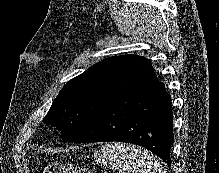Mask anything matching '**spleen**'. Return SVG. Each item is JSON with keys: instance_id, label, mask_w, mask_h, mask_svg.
<instances>
[{"instance_id": "spleen-1", "label": "spleen", "mask_w": 219, "mask_h": 173, "mask_svg": "<svg viewBox=\"0 0 219 173\" xmlns=\"http://www.w3.org/2000/svg\"><path fill=\"white\" fill-rule=\"evenodd\" d=\"M95 156L119 173H166L160 161L148 150L130 144H106L95 152Z\"/></svg>"}]
</instances>
